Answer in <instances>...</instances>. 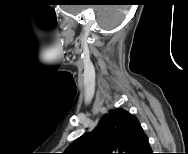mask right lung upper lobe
<instances>
[{"mask_svg":"<svg viewBox=\"0 0 188 154\" xmlns=\"http://www.w3.org/2000/svg\"><path fill=\"white\" fill-rule=\"evenodd\" d=\"M150 149L138 119L117 108L104 114L95 130L76 139L64 153L145 154Z\"/></svg>","mask_w":188,"mask_h":154,"instance_id":"obj_1","label":"right lung upper lobe"}]
</instances>
